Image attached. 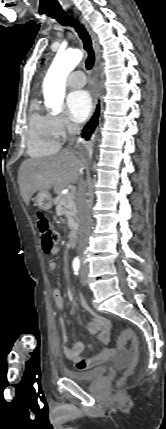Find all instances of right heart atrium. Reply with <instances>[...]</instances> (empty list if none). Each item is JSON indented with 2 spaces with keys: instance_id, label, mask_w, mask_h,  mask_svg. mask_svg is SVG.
Segmentation results:
<instances>
[{
  "instance_id": "obj_1",
  "label": "right heart atrium",
  "mask_w": 166,
  "mask_h": 429,
  "mask_svg": "<svg viewBox=\"0 0 166 429\" xmlns=\"http://www.w3.org/2000/svg\"><path fill=\"white\" fill-rule=\"evenodd\" d=\"M50 124L56 137L62 138L72 133L76 128L62 115H49Z\"/></svg>"
}]
</instances>
